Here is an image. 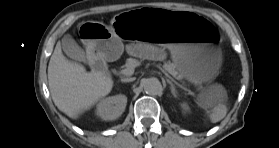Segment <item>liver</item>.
Segmentation results:
<instances>
[{
	"mask_svg": "<svg viewBox=\"0 0 279 148\" xmlns=\"http://www.w3.org/2000/svg\"><path fill=\"white\" fill-rule=\"evenodd\" d=\"M48 82L54 104L72 119L93 107L113 87L105 72H87L83 65L68 60L59 42L49 61Z\"/></svg>",
	"mask_w": 279,
	"mask_h": 148,
	"instance_id": "6515ba94",
	"label": "liver"
}]
</instances>
